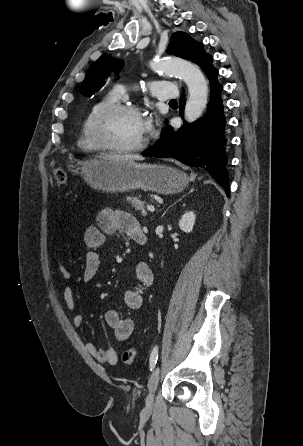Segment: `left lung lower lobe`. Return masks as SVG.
I'll return each instance as SVG.
<instances>
[{
    "mask_svg": "<svg viewBox=\"0 0 303 446\" xmlns=\"http://www.w3.org/2000/svg\"><path fill=\"white\" fill-rule=\"evenodd\" d=\"M201 68L210 81L211 90L205 116L192 124L185 122L177 131H174L171 126H166L161 133V139L142 155L172 157L188 166L204 168L219 185L225 188L226 195L230 197L225 153L226 120L220 96L223 87L217 81L218 70L212 65V57L208 58ZM185 102L183 92L180 99L181 116H183Z\"/></svg>",
    "mask_w": 303,
    "mask_h": 446,
    "instance_id": "obj_1",
    "label": "left lung lower lobe"
}]
</instances>
